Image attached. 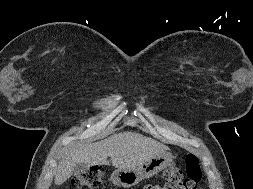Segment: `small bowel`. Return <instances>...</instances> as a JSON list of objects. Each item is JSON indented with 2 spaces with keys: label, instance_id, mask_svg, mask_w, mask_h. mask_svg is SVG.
<instances>
[{
  "label": "small bowel",
  "instance_id": "obj_1",
  "mask_svg": "<svg viewBox=\"0 0 253 189\" xmlns=\"http://www.w3.org/2000/svg\"><path fill=\"white\" fill-rule=\"evenodd\" d=\"M146 189H166V188L161 187V186H148L146 187Z\"/></svg>",
  "mask_w": 253,
  "mask_h": 189
}]
</instances>
